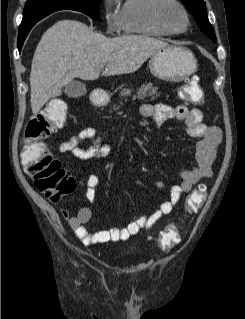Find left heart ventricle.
I'll list each match as a JSON object with an SVG mask.
<instances>
[{
  "label": "left heart ventricle",
  "mask_w": 245,
  "mask_h": 319,
  "mask_svg": "<svg viewBox=\"0 0 245 319\" xmlns=\"http://www.w3.org/2000/svg\"><path fill=\"white\" fill-rule=\"evenodd\" d=\"M168 18L169 21L171 22V24L175 27V28H182L184 26V19L183 16L181 15V13L179 11H177L176 9H170L168 11Z\"/></svg>",
  "instance_id": "b2bd125f"
}]
</instances>
